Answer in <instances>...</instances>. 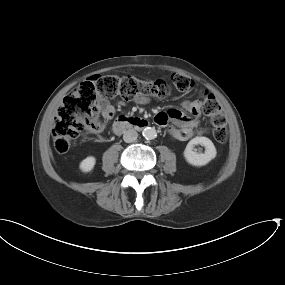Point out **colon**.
<instances>
[{"label": "colon", "instance_id": "5ec220e1", "mask_svg": "<svg viewBox=\"0 0 285 285\" xmlns=\"http://www.w3.org/2000/svg\"><path fill=\"white\" fill-rule=\"evenodd\" d=\"M174 87L181 92L188 91L192 80L183 74H173ZM168 86L162 80L142 81L131 75L102 76L96 75L82 82L67 95L54 122L53 144L58 153H65L72 148L89 119L97 116V97L121 96L131 99L135 97H165ZM199 102L205 115L211 119V135L217 142L224 143L228 138L226 118L219 101L209 92L201 94ZM155 124L164 126L168 117L160 112L153 118Z\"/></svg>", "mask_w": 285, "mask_h": 285}]
</instances>
